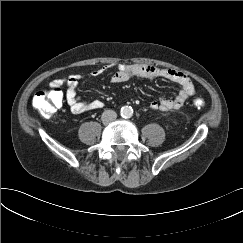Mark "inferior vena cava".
I'll return each instance as SVG.
<instances>
[{
	"mask_svg": "<svg viewBox=\"0 0 243 243\" xmlns=\"http://www.w3.org/2000/svg\"><path fill=\"white\" fill-rule=\"evenodd\" d=\"M117 118V114L113 110H105L102 114V122L104 125L110 124Z\"/></svg>",
	"mask_w": 243,
	"mask_h": 243,
	"instance_id": "inferior-vena-cava-1",
	"label": "inferior vena cava"
}]
</instances>
